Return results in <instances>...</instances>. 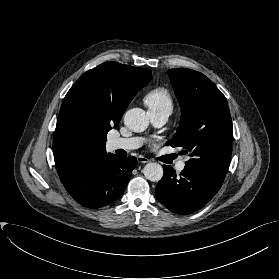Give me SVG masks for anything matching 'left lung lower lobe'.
<instances>
[{
    "label": "left lung lower lobe",
    "instance_id": "0a47b994",
    "mask_svg": "<svg viewBox=\"0 0 279 279\" xmlns=\"http://www.w3.org/2000/svg\"><path fill=\"white\" fill-rule=\"evenodd\" d=\"M163 169L164 175L156 186V198L171 212L179 215L202 208L222 186L194 171L184 169L177 176L169 165H163Z\"/></svg>",
    "mask_w": 279,
    "mask_h": 279
}]
</instances>
